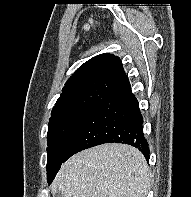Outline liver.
<instances>
[{
	"instance_id": "1",
	"label": "liver",
	"mask_w": 191,
	"mask_h": 197,
	"mask_svg": "<svg viewBox=\"0 0 191 197\" xmlns=\"http://www.w3.org/2000/svg\"><path fill=\"white\" fill-rule=\"evenodd\" d=\"M150 172L143 154L127 144H103L72 156L57 173L51 192L64 197H146Z\"/></svg>"
}]
</instances>
